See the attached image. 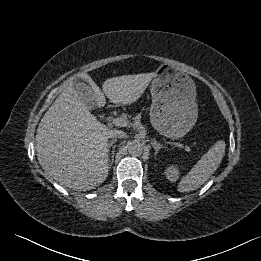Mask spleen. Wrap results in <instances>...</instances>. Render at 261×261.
<instances>
[{
  "label": "spleen",
  "instance_id": "3e777b00",
  "mask_svg": "<svg viewBox=\"0 0 261 261\" xmlns=\"http://www.w3.org/2000/svg\"><path fill=\"white\" fill-rule=\"evenodd\" d=\"M226 144L223 140L216 142L191 168L178 184L181 193L190 192L202 186L219 167Z\"/></svg>",
  "mask_w": 261,
  "mask_h": 261
}]
</instances>
